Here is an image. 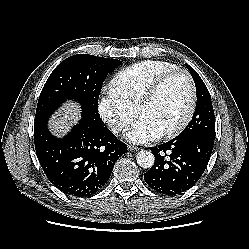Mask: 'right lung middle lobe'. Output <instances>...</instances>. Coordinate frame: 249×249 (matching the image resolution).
Masks as SVG:
<instances>
[{"mask_svg": "<svg viewBox=\"0 0 249 249\" xmlns=\"http://www.w3.org/2000/svg\"><path fill=\"white\" fill-rule=\"evenodd\" d=\"M121 63L88 54L65 59L53 70L41 91L34 127L46 125L52 113L69 99L81 105L82 119L104 126L98 114L99 93L107 74Z\"/></svg>", "mask_w": 249, "mask_h": 249, "instance_id": "right-lung-middle-lobe-1", "label": "right lung middle lobe"}]
</instances>
